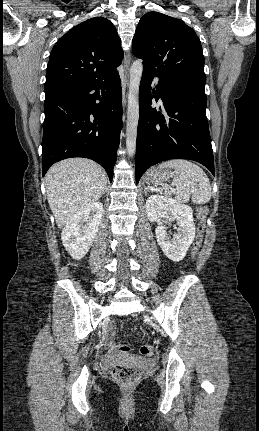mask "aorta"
<instances>
[{"mask_svg":"<svg viewBox=\"0 0 259 431\" xmlns=\"http://www.w3.org/2000/svg\"><path fill=\"white\" fill-rule=\"evenodd\" d=\"M142 72V61L136 60L130 68L128 93L126 148L129 156H133L136 149L137 126L139 119V86Z\"/></svg>","mask_w":259,"mask_h":431,"instance_id":"1","label":"aorta"}]
</instances>
